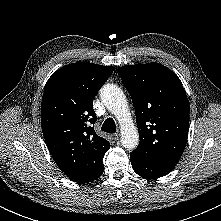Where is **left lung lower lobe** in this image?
<instances>
[{
	"label": "left lung lower lobe",
	"instance_id": "0a47b994",
	"mask_svg": "<svg viewBox=\"0 0 221 221\" xmlns=\"http://www.w3.org/2000/svg\"><path fill=\"white\" fill-rule=\"evenodd\" d=\"M133 170L143 178L155 179L167 175L173 170L174 165L153 163L134 154H130Z\"/></svg>",
	"mask_w": 221,
	"mask_h": 221
}]
</instances>
